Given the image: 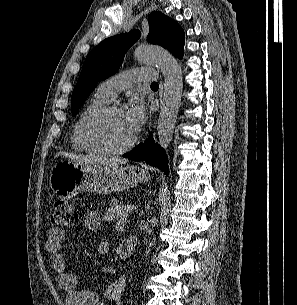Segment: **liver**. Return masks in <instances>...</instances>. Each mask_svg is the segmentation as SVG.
<instances>
[{"label": "liver", "instance_id": "liver-1", "mask_svg": "<svg viewBox=\"0 0 297 305\" xmlns=\"http://www.w3.org/2000/svg\"><path fill=\"white\" fill-rule=\"evenodd\" d=\"M58 156H64L66 158H70L72 161L82 163V164H91V165H103L108 167H117L119 165L125 164L127 162L126 159L120 158H103L93 155H78L71 154L67 152H60Z\"/></svg>", "mask_w": 297, "mask_h": 305}]
</instances>
